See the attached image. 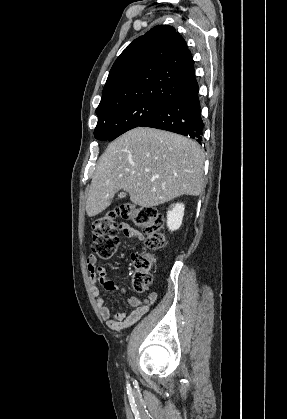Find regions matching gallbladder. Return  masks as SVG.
I'll list each match as a JSON object with an SVG mask.
<instances>
[{"mask_svg": "<svg viewBox=\"0 0 287 419\" xmlns=\"http://www.w3.org/2000/svg\"><path fill=\"white\" fill-rule=\"evenodd\" d=\"M127 196L126 192H121L119 198H125Z\"/></svg>", "mask_w": 287, "mask_h": 419, "instance_id": "bac80fb5", "label": "gallbladder"}]
</instances>
